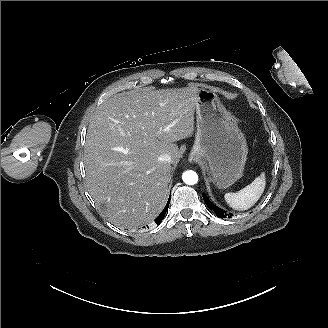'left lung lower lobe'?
Here are the masks:
<instances>
[{
    "instance_id": "1",
    "label": "left lung lower lobe",
    "mask_w": 328,
    "mask_h": 328,
    "mask_svg": "<svg viewBox=\"0 0 328 328\" xmlns=\"http://www.w3.org/2000/svg\"><path fill=\"white\" fill-rule=\"evenodd\" d=\"M203 199H204L205 203L207 204L208 208L213 210L218 217H220V218H225V217L231 218V216H233L232 214H227L222 209L216 207L214 204H212L209 201V199L205 195H203Z\"/></svg>"
}]
</instances>
